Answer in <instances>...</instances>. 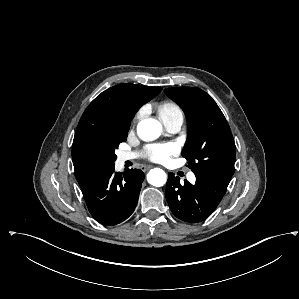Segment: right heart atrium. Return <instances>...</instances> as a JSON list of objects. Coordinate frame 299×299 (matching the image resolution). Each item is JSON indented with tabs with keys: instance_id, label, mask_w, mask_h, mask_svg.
<instances>
[{
	"instance_id": "d8ad5b80",
	"label": "right heart atrium",
	"mask_w": 299,
	"mask_h": 299,
	"mask_svg": "<svg viewBox=\"0 0 299 299\" xmlns=\"http://www.w3.org/2000/svg\"><path fill=\"white\" fill-rule=\"evenodd\" d=\"M141 114H142V110H140V111L135 115V117H134V122L137 121V119L141 116Z\"/></svg>"
}]
</instances>
